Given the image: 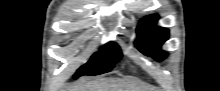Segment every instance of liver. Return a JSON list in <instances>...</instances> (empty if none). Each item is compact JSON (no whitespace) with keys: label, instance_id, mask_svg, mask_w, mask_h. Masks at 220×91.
<instances>
[{"label":"liver","instance_id":"obj_1","mask_svg":"<svg viewBox=\"0 0 220 91\" xmlns=\"http://www.w3.org/2000/svg\"><path fill=\"white\" fill-rule=\"evenodd\" d=\"M75 91H149V89L127 79L103 78L88 81Z\"/></svg>","mask_w":220,"mask_h":91}]
</instances>
